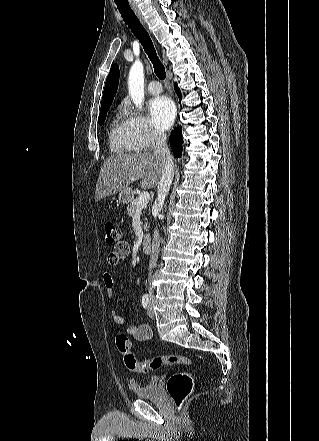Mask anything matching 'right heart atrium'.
Instances as JSON below:
<instances>
[{"instance_id":"right-heart-atrium-1","label":"right heart atrium","mask_w":319,"mask_h":441,"mask_svg":"<svg viewBox=\"0 0 319 441\" xmlns=\"http://www.w3.org/2000/svg\"><path fill=\"white\" fill-rule=\"evenodd\" d=\"M129 139L137 151L151 150L156 144L164 141V132L141 113L132 112L126 119Z\"/></svg>"}]
</instances>
